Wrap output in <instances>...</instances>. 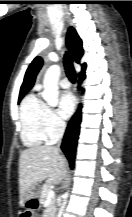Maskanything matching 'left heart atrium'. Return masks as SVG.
<instances>
[{
    "label": "left heart atrium",
    "mask_w": 132,
    "mask_h": 217,
    "mask_svg": "<svg viewBox=\"0 0 132 217\" xmlns=\"http://www.w3.org/2000/svg\"><path fill=\"white\" fill-rule=\"evenodd\" d=\"M76 106V99L71 92H64L59 99V114L62 118H69Z\"/></svg>",
    "instance_id": "1"
}]
</instances>
